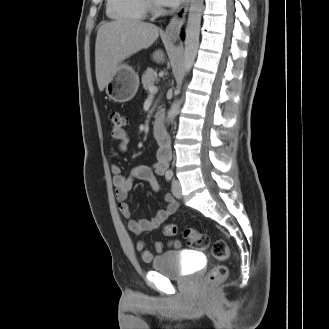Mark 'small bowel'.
Instances as JSON below:
<instances>
[{
  "label": "small bowel",
  "mask_w": 329,
  "mask_h": 329,
  "mask_svg": "<svg viewBox=\"0 0 329 329\" xmlns=\"http://www.w3.org/2000/svg\"><path fill=\"white\" fill-rule=\"evenodd\" d=\"M112 137L118 142V148L120 151H125L131 144V135L128 131H124L121 136ZM167 164L163 161H157L153 165H136L126 175L123 174L122 168L119 164H112L111 171L113 174V185L115 188V196L118 202V209L124 219L128 221V228L135 234H141L146 231H151L158 228L168 217L173 215L178 207L179 203L170 194L164 196L166 207L160 211L155 217L150 220H136L132 218V212L126 200L129 196L132 188L133 181L135 179L146 181L149 183L153 191H159L160 185L157 180L158 175H162L166 170ZM172 249H180L181 242L177 239L171 240L168 243ZM136 251L141 255V258L149 262L153 258V254L147 250L143 241H138L135 245ZM155 250L157 253L164 252V246L161 242L156 243Z\"/></svg>",
  "instance_id": "1"
}]
</instances>
